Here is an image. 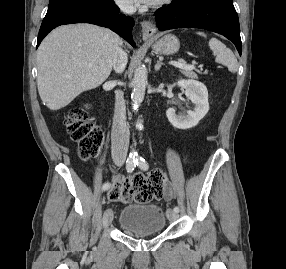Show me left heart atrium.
Masks as SVG:
<instances>
[{
  "mask_svg": "<svg viewBox=\"0 0 286 269\" xmlns=\"http://www.w3.org/2000/svg\"><path fill=\"white\" fill-rule=\"evenodd\" d=\"M129 3L136 4V5H152L157 0H127Z\"/></svg>",
  "mask_w": 286,
  "mask_h": 269,
  "instance_id": "1",
  "label": "left heart atrium"
}]
</instances>
